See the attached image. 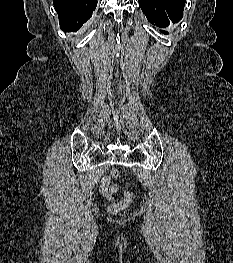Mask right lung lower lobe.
Segmentation results:
<instances>
[{
  "label": "right lung lower lobe",
  "instance_id": "98d812e1",
  "mask_svg": "<svg viewBox=\"0 0 233 263\" xmlns=\"http://www.w3.org/2000/svg\"><path fill=\"white\" fill-rule=\"evenodd\" d=\"M59 15V24L63 31H77L95 10L97 0H54Z\"/></svg>",
  "mask_w": 233,
  "mask_h": 263
}]
</instances>
